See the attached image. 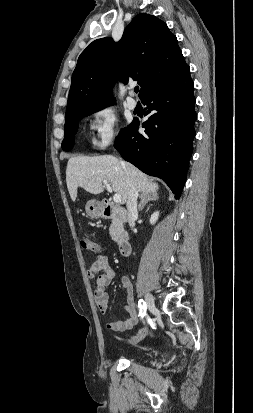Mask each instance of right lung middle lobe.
Wrapping results in <instances>:
<instances>
[{"label":"right lung middle lobe","mask_w":253,"mask_h":413,"mask_svg":"<svg viewBox=\"0 0 253 413\" xmlns=\"http://www.w3.org/2000/svg\"><path fill=\"white\" fill-rule=\"evenodd\" d=\"M98 110H89V111H85L82 112L78 115H75L73 117H71L70 119H68L67 121H65V127H64V140L62 142V149L64 151H69L72 149L73 145H74V137L75 134L77 132L78 129V122L84 118L85 116H88L94 112H96ZM124 130H122L120 132V134L123 132ZM119 134V135H120Z\"/></svg>","instance_id":"dd1d6c3e"}]
</instances>
